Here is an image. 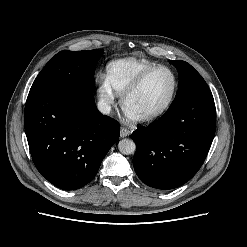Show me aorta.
Segmentation results:
<instances>
[{
  "label": "aorta",
  "instance_id": "1",
  "mask_svg": "<svg viewBox=\"0 0 247 247\" xmlns=\"http://www.w3.org/2000/svg\"><path fill=\"white\" fill-rule=\"evenodd\" d=\"M118 148L122 154L129 155V154H133L135 152L136 144L131 139H122L118 143Z\"/></svg>",
  "mask_w": 247,
  "mask_h": 247
}]
</instances>
